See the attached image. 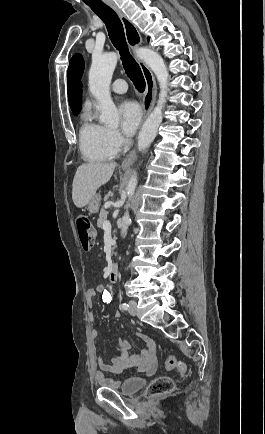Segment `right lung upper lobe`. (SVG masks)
<instances>
[{
    "mask_svg": "<svg viewBox=\"0 0 265 434\" xmlns=\"http://www.w3.org/2000/svg\"><path fill=\"white\" fill-rule=\"evenodd\" d=\"M84 71V60L80 54H75L69 63L67 73L68 99L71 106L82 104L81 78Z\"/></svg>",
    "mask_w": 265,
    "mask_h": 434,
    "instance_id": "right-lung-upper-lobe-1",
    "label": "right lung upper lobe"
}]
</instances>
